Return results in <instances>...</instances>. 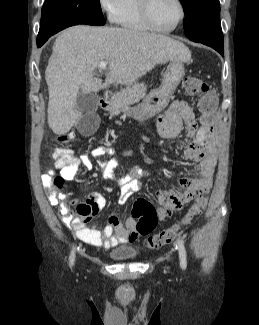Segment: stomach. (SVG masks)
Masks as SVG:
<instances>
[{
	"instance_id": "obj_1",
	"label": "stomach",
	"mask_w": 259,
	"mask_h": 325,
	"mask_svg": "<svg viewBox=\"0 0 259 325\" xmlns=\"http://www.w3.org/2000/svg\"><path fill=\"white\" fill-rule=\"evenodd\" d=\"M183 76V63L181 61L172 60L167 67L159 89L150 92L141 104L132 109L128 106L116 107L110 104L106 107V110L113 114H117L121 111L127 112L135 119L144 121L155 116L167 106L171 95L175 92Z\"/></svg>"
}]
</instances>
